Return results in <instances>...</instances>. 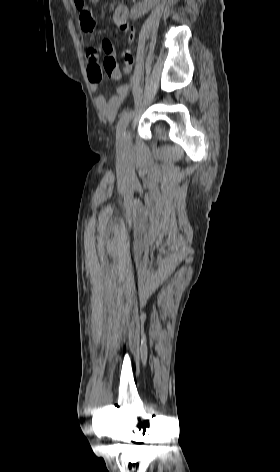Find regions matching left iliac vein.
<instances>
[{
  "label": "left iliac vein",
  "instance_id": "left-iliac-vein-1",
  "mask_svg": "<svg viewBox=\"0 0 280 472\" xmlns=\"http://www.w3.org/2000/svg\"><path fill=\"white\" fill-rule=\"evenodd\" d=\"M119 146L125 152H128V151L131 150V147H132V134H131L130 130L126 131L124 138L122 140H120V142H119Z\"/></svg>",
  "mask_w": 280,
  "mask_h": 472
}]
</instances>
